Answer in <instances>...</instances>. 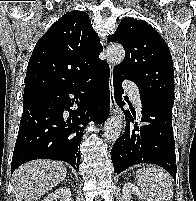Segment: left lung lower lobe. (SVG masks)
<instances>
[{
  "instance_id": "1",
  "label": "left lung lower lobe",
  "mask_w": 196,
  "mask_h": 201,
  "mask_svg": "<svg viewBox=\"0 0 196 201\" xmlns=\"http://www.w3.org/2000/svg\"><path fill=\"white\" fill-rule=\"evenodd\" d=\"M123 80L124 78L113 75L114 96L120 108L125 104L121 96L124 93ZM140 98V122L144 124L137 126V122L134 123L136 113L130 109L133 118L129 110L124 111L129 120H126L124 134L115 141L111 150L114 172L119 174L132 165L151 163L163 167L176 180L175 141L172 132L173 104L148 95L140 94Z\"/></svg>"
}]
</instances>
